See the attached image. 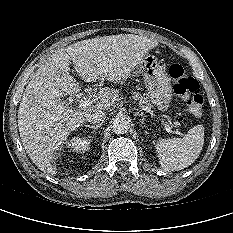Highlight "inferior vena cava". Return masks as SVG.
I'll return each instance as SVG.
<instances>
[{
	"label": "inferior vena cava",
	"mask_w": 233,
	"mask_h": 233,
	"mask_svg": "<svg viewBox=\"0 0 233 233\" xmlns=\"http://www.w3.org/2000/svg\"><path fill=\"white\" fill-rule=\"evenodd\" d=\"M106 119V114L102 110H93L87 117L90 123L102 124Z\"/></svg>",
	"instance_id": "1"
}]
</instances>
